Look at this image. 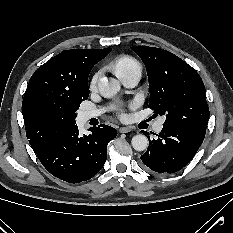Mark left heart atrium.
<instances>
[{"label": "left heart atrium", "mask_w": 233, "mask_h": 233, "mask_svg": "<svg viewBox=\"0 0 233 233\" xmlns=\"http://www.w3.org/2000/svg\"><path fill=\"white\" fill-rule=\"evenodd\" d=\"M117 112L119 113L120 116H123V110L121 108H117Z\"/></svg>", "instance_id": "1"}]
</instances>
